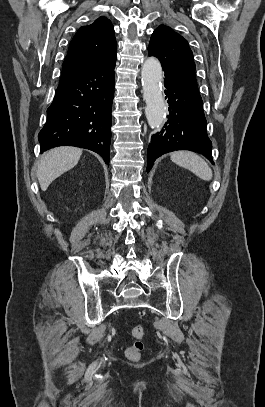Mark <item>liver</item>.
Instances as JSON below:
<instances>
[{
	"mask_svg": "<svg viewBox=\"0 0 265 407\" xmlns=\"http://www.w3.org/2000/svg\"><path fill=\"white\" fill-rule=\"evenodd\" d=\"M82 149L76 147H56L45 153L39 163L37 177L42 191L59 176L77 165Z\"/></svg>",
	"mask_w": 265,
	"mask_h": 407,
	"instance_id": "liver-1",
	"label": "liver"
}]
</instances>
